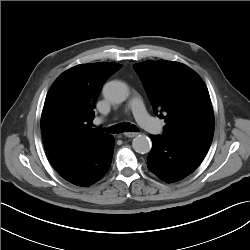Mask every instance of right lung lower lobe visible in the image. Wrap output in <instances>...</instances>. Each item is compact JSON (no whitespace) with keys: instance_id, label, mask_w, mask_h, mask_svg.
<instances>
[{"instance_id":"right-lung-lower-lobe-1","label":"right lung lower lobe","mask_w":250,"mask_h":250,"mask_svg":"<svg viewBox=\"0 0 250 250\" xmlns=\"http://www.w3.org/2000/svg\"><path fill=\"white\" fill-rule=\"evenodd\" d=\"M113 151L114 138L110 135L90 152L57 169V172L74 185L89 186L101 179L108 171Z\"/></svg>"}]
</instances>
